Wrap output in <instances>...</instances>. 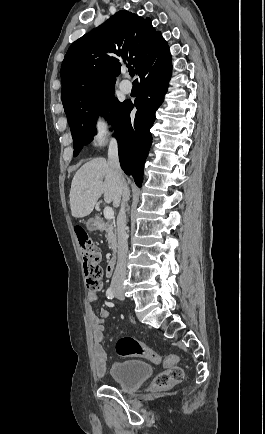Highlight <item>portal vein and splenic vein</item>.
Listing matches in <instances>:
<instances>
[{
  "label": "portal vein and splenic vein",
  "mask_w": 265,
  "mask_h": 434,
  "mask_svg": "<svg viewBox=\"0 0 265 434\" xmlns=\"http://www.w3.org/2000/svg\"><path fill=\"white\" fill-rule=\"evenodd\" d=\"M104 218H106V220H112V218H114V212L112 210V208H104Z\"/></svg>",
  "instance_id": "obj_1"
}]
</instances>
